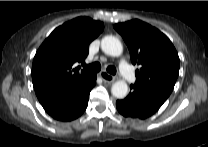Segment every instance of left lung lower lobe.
Listing matches in <instances>:
<instances>
[{
	"label": "left lung lower lobe",
	"instance_id": "1",
	"mask_svg": "<svg viewBox=\"0 0 208 147\" xmlns=\"http://www.w3.org/2000/svg\"><path fill=\"white\" fill-rule=\"evenodd\" d=\"M130 89L125 99L116 102L117 110L125 117L145 119L154 114L167 99L146 87L131 85Z\"/></svg>",
	"mask_w": 208,
	"mask_h": 147
}]
</instances>
